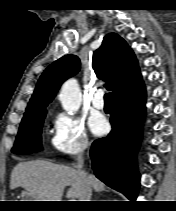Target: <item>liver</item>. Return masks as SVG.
<instances>
[{
	"mask_svg": "<svg viewBox=\"0 0 176 211\" xmlns=\"http://www.w3.org/2000/svg\"><path fill=\"white\" fill-rule=\"evenodd\" d=\"M91 188L96 192L105 190V185L94 175H87ZM66 186L69 201H83L84 186L78 170L46 160L18 163L12 170L10 188L22 187L38 201H62ZM78 199V200H74Z\"/></svg>",
	"mask_w": 176,
	"mask_h": 211,
	"instance_id": "obj_1",
	"label": "liver"
}]
</instances>
